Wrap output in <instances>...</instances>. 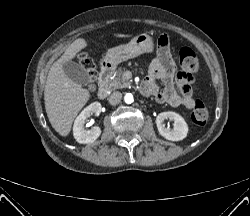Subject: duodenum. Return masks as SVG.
I'll use <instances>...</instances> for the list:
<instances>
[{"mask_svg": "<svg viewBox=\"0 0 250 216\" xmlns=\"http://www.w3.org/2000/svg\"><path fill=\"white\" fill-rule=\"evenodd\" d=\"M111 68V64L107 62L103 63L100 67L98 74V96L100 99H105L109 94L108 76Z\"/></svg>", "mask_w": 250, "mask_h": 216, "instance_id": "410a0bca", "label": "duodenum"}]
</instances>
